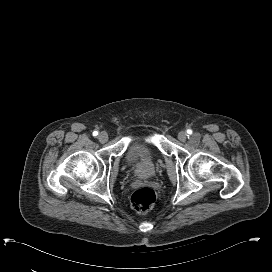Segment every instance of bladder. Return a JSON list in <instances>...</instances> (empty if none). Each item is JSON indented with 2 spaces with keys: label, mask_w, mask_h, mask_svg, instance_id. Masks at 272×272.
Here are the masks:
<instances>
[{
  "label": "bladder",
  "mask_w": 272,
  "mask_h": 272,
  "mask_svg": "<svg viewBox=\"0 0 272 272\" xmlns=\"http://www.w3.org/2000/svg\"><path fill=\"white\" fill-rule=\"evenodd\" d=\"M127 158L141 175H149L155 167L156 156L152 148L143 141H132Z\"/></svg>",
  "instance_id": "1"
}]
</instances>
